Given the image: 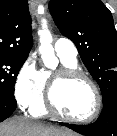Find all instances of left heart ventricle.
Wrapping results in <instances>:
<instances>
[{"label": "left heart ventricle", "instance_id": "1", "mask_svg": "<svg viewBox=\"0 0 117 136\" xmlns=\"http://www.w3.org/2000/svg\"><path fill=\"white\" fill-rule=\"evenodd\" d=\"M55 99L60 109L74 118L89 117L95 110L94 91L84 80L66 83L56 91Z\"/></svg>", "mask_w": 117, "mask_h": 136}]
</instances>
